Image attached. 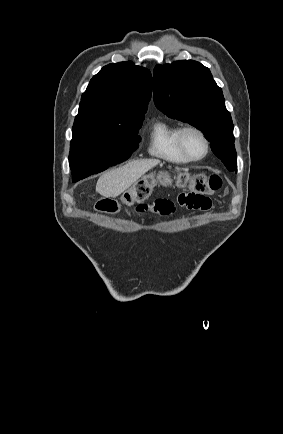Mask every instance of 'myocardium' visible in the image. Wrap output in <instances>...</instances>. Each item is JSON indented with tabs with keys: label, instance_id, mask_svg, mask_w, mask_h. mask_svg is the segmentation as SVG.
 <instances>
[{
	"label": "myocardium",
	"instance_id": "1",
	"mask_svg": "<svg viewBox=\"0 0 283 434\" xmlns=\"http://www.w3.org/2000/svg\"><path fill=\"white\" fill-rule=\"evenodd\" d=\"M188 132H195L201 137V139L204 143V146H205V149H204V152L202 155L193 156L188 152V150L185 146V143H184L185 134ZM177 144H178V148H179L180 152L189 161H200V160L204 159L210 151V142H209L207 135L205 134V132L201 128H199L195 125H187V126H183L179 129L178 134H177Z\"/></svg>",
	"mask_w": 283,
	"mask_h": 434
}]
</instances>
